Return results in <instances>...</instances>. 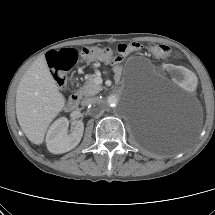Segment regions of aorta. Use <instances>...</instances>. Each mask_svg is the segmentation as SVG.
I'll return each mask as SVG.
<instances>
[{"label": "aorta", "mask_w": 215, "mask_h": 215, "mask_svg": "<svg viewBox=\"0 0 215 215\" xmlns=\"http://www.w3.org/2000/svg\"><path fill=\"white\" fill-rule=\"evenodd\" d=\"M117 103V98L115 96H110L107 100L109 106H114Z\"/></svg>", "instance_id": "762f6f07"}]
</instances>
